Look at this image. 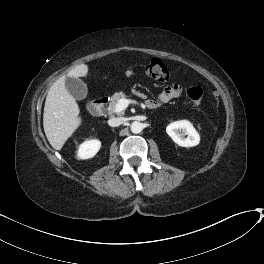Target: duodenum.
I'll use <instances>...</instances> for the list:
<instances>
[{
	"label": "duodenum",
	"mask_w": 264,
	"mask_h": 264,
	"mask_svg": "<svg viewBox=\"0 0 264 264\" xmlns=\"http://www.w3.org/2000/svg\"><path fill=\"white\" fill-rule=\"evenodd\" d=\"M107 105V99L104 97L95 98L92 102L93 109L98 116H102Z\"/></svg>",
	"instance_id": "1"
}]
</instances>
